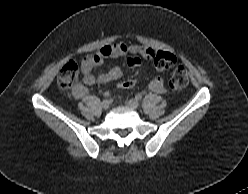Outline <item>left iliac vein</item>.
I'll list each match as a JSON object with an SVG mask.
<instances>
[{
	"instance_id": "left-iliac-vein-1",
	"label": "left iliac vein",
	"mask_w": 248,
	"mask_h": 194,
	"mask_svg": "<svg viewBox=\"0 0 248 194\" xmlns=\"http://www.w3.org/2000/svg\"><path fill=\"white\" fill-rule=\"evenodd\" d=\"M127 105L132 108V109H138L140 104L137 100L135 99H130L128 102H127Z\"/></svg>"
}]
</instances>
